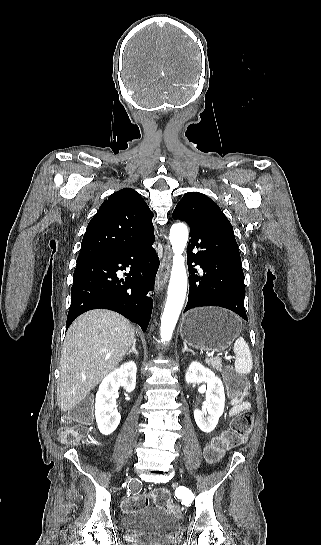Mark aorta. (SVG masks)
Masks as SVG:
<instances>
[{
	"instance_id": "obj_1",
	"label": "aorta",
	"mask_w": 321,
	"mask_h": 545,
	"mask_svg": "<svg viewBox=\"0 0 321 545\" xmlns=\"http://www.w3.org/2000/svg\"><path fill=\"white\" fill-rule=\"evenodd\" d=\"M169 240L172 245L173 260L167 301L161 318V341H170L181 313L186 292L187 274L183 252L188 241V229L183 223H175L170 229Z\"/></svg>"
}]
</instances>
